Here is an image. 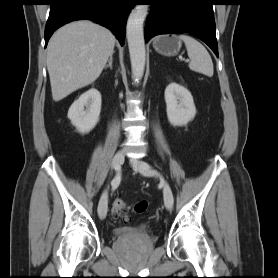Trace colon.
I'll return each instance as SVG.
<instances>
[{
  "instance_id": "1",
  "label": "colon",
  "mask_w": 278,
  "mask_h": 278,
  "mask_svg": "<svg viewBox=\"0 0 278 278\" xmlns=\"http://www.w3.org/2000/svg\"><path fill=\"white\" fill-rule=\"evenodd\" d=\"M146 208H147L146 201H139L133 207L134 211L137 213L144 212L146 210ZM112 212H113L114 216L119 217V218L123 219L124 221L130 220V215L128 214L126 203L119 198H115L113 200Z\"/></svg>"
}]
</instances>
